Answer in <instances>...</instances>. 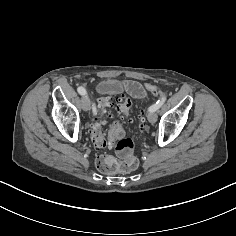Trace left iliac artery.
Here are the masks:
<instances>
[{
    "mask_svg": "<svg viewBox=\"0 0 236 236\" xmlns=\"http://www.w3.org/2000/svg\"><path fill=\"white\" fill-rule=\"evenodd\" d=\"M166 101V96H162L161 99H159L155 104L149 107L150 112H155L157 111Z\"/></svg>",
    "mask_w": 236,
    "mask_h": 236,
    "instance_id": "1",
    "label": "left iliac artery"
}]
</instances>
